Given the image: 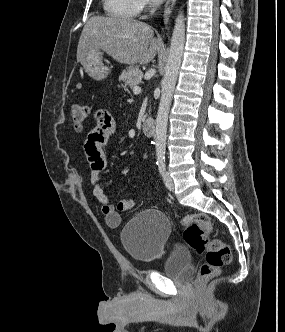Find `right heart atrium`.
<instances>
[{"label":"right heart atrium","instance_id":"1","mask_svg":"<svg viewBox=\"0 0 285 332\" xmlns=\"http://www.w3.org/2000/svg\"><path fill=\"white\" fill-rule=\"evenodd\" d=\"M140 8H149L151 6V0H139Z\"/></svg>","mask_w":285,"mask_h":332}]
</instances>
